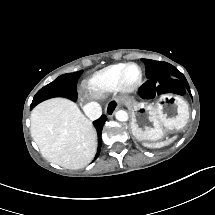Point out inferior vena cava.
<instances>
[{"label":"inferior vena cava","mask_w":215,"mask_h":215,"mask_svg":"<svg viewBox=\"0 0 215 215\" xmlns=\"http://www.w3.org/2000/svg\"><path fill=\"white\" fill-rule=\"evenodd\" d=\"M85 115L90 120H96L102 115V108L97 102H89L83 106Z\"/></svg>","instance_id":"602c4592"}]
</instances>
